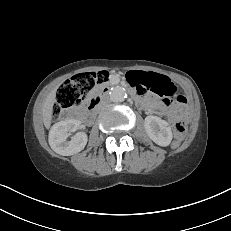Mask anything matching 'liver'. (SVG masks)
<instances>
[{"mask_svg": "<svg viewBox=\"0 0 231 231\" xmlns=\"http://www.w3.org/2000/svg\"><path fill=\"white\" fill-rule=\"evenodd\" d=\"M57 87H55L51 92L47 95L43 107H42V116H43V123L46 128H50L52 115H53V105L56 101V92Z\"/></svg>", "mask_w": 231, "mask_h": 231, "instance_id": "obj_1", "label": "liver"}]
</instances>
